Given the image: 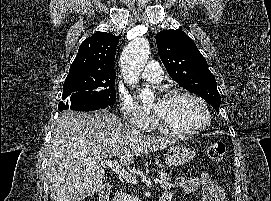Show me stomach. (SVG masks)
<instances>
[{"mask_svg": "<svg viewBox=\"0 0 271 201\" xmlns=\"http://www.w3.org/2000/svg\"><path fill=\"white\" fill-rule=\"evenodd\" d=\"M195 157V152L185 146L170 147L164 154L167 166H181L187 164Z\"/></svg>", "mask_w": 271, "mask_h": 201, "instance_id": "stomach-1", "label": "stomach"}]
</instances>
